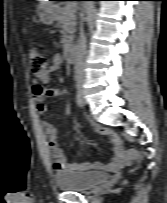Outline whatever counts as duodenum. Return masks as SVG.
Wrapping results in <instances>:
<instances>
[{"mask_svg":"<svg viewBox=\"0 0 167 203\" xmlns=\"http://www.w3.org/2000/svg\"><path fill=\"white\" fill-rule=\"evenodd\" d=\"M76 47L74 45H69L65 50V60L68 63H74L76 60Z\"/></svg>","mask_w":167,"mask_h":203,"instance_id":"410a0bca","label":"duodenum"}]
</instances>
